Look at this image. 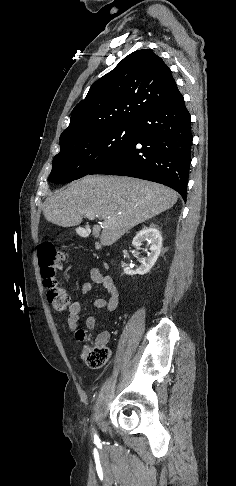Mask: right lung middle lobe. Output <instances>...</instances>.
<instances>
[{"label":"right lung middle lobe","mask_w":236,"mask_h":486,"mask_svg":"<svg viewBox=\"0 0 236 486\" xmlns=\"http://www.w3.org/2000/svg\"><path fill=\"white\" fill-rule=\"evenodd\" d=\"M136 124L89 131L60 142L49 181L67 183L88 175L117 151L131 143Z\"/></svg>","instance_id":"right-lung-middle-lobe-1"}]
</instances>
